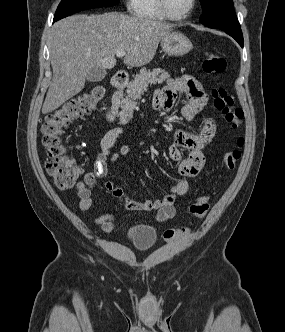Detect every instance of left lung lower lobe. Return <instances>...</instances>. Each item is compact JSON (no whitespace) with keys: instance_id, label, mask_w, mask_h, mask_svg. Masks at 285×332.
Masks as SVG:
<instances>
[{"instance_id":"1","label":"left lung lower lobe","mask_w":285,"mask_h":332,"mask_svg":"<svg viewBox=\"0 0 285 332\" xmlns=\"http://www.w3.org/2000/svg\"><path fill=\"white\" fill-rule=\"evenodd\" d=\"M222 30H224L227 34L232 36L240 44V46L243 47V36H242L241 28H238V29H222Z\"/></svg>"}]
</instances>
